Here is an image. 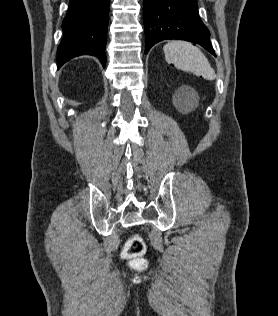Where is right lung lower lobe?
<instances>
[{
    "label": "right lung lower lobe",
    "mask_w": 278,
    "mask_h": 316,
    "mask_svg": "<svg viewBox=\"0 0 278 316\" xmlns=\"http://www.w3.org/2000/svg\"><path fill=\"white\" fill-rule=\"evenodd\" d=\"M109 23V0H70L62 23L63 39L58 47V69L80 55L96 56L106 64L105 46Z\"/></svg>",
    "instance_id": "right-lung-lower-lobe-1"
}]
</instances>
